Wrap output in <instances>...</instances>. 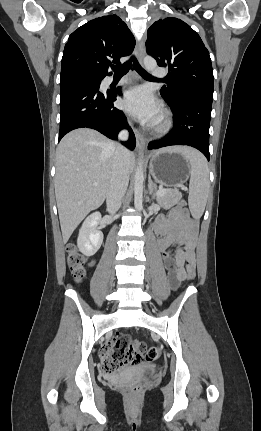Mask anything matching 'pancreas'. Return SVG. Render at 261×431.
I'll list each match as a JSON object with an SVG mask.
<instances>
[{"label": "pancreas", "instance_id": "pancreas-1", "mask_svg": "<svg viewBox=\"0 0 261 431\" xmlns=\"http://www.w3.org/2000/svg\"><path fill=\"white\" fill-rule=\"evenodd\" d=\"M182 198V194L176 189H168L160 196H157V203L164 209H169L176 205Z\"/></svg>", "mask_w": 261, "mask_h": 431}]
</instances>
